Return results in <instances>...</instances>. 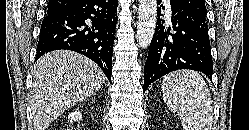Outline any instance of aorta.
I'll return each instance as SVG.
<instances>
[{"instance_id": "1", "label": "aorta", "mask_w": 249, "mask_h": 130, "mask_svg": "<svg viewBox=\"0 0 249 130\" xmlns=\"http://www.w3.org/2000/svg\"><path fill=\"white\" fill-rule=\"evenodd\" d=\"M137 22V41L139 47L146 49L154 36L157 22V1L139 0Z\"/></svg>"}]
</instances>
